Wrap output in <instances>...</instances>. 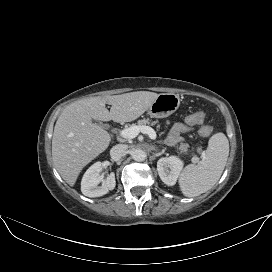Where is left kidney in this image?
Returning <instances> with one entry per match:
<instances>
[{"instance_id": "obj_1", "label": "left kidney", "mask_w": 272, "mask_h": 272, "mask_svg": "<svg viewBox=\"0 0 272 272\" xmlns=\"http://www.w3.org/2000/svg\"><path fill=\"white\" fill-rule=\"evenodd\" d=\"M182 168L183 161L176 156L160 158L157 162L159 177L168 186L176 184Z\"/></svg>"}]
</instances>
